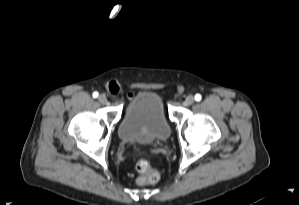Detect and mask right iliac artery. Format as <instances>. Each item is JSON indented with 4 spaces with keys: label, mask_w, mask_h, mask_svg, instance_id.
Wrapping results in <instances>:
<instances>
[{
    "label": "right iliac artery",
    "mask_w": 299,
    "mask_h": 205,
    "mask_svg": "<svg viewBox=\"0 0 299 205\" xmlns=\"http://www.w3.org/2000/svg\"><path fill=\"white\" fill-rule=\"evenodd\" d=\"M98 95H99L98 92H94V93H93V97H94V98H97Z\"/></svg>",
    "instance_id": "82829eb1"
}]
</instances>
